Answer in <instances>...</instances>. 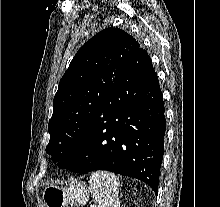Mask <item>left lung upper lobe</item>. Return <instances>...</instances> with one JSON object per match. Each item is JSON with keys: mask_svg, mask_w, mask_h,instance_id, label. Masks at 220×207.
I'll return each mask as SVG.
<instances>
[{"mask_svg": "<svg viewBox=\"0 0 220 207\" xmlns=\"http://www.w3.org/2000/svg\"><path fill=\"white\" fill-rule=\"evenodd\" d=\"M140 44L119 28H107L76 53L60 80L48 123L46 152L59 162L88 132L112 87Z\"/></svg>", "mask_w": 220, "mask_h": 207, "instance_id": "left-lung-upper-lobe-1", "label": "left lung upper lobe"}]
</instances>
